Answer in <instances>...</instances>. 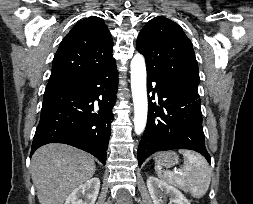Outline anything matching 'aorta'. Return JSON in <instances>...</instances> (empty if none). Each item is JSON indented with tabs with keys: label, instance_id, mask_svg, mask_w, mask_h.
<instances>
[{
	"label": "aorta",
	"instance_id": "762f6f07",
	"mask_svg": "<svg viewBox=\"0 0 253 204\" xmlns=\"http://www.w3.org/2000/svg\"><path fill=\"white\" fill-rule=\"evenodd\" d=\"M131 89L134 103V129L135 133L139 135L146 126L148 101L145 60L138 53L131 61Z\"/></svg>",
	"mask_w": 253,
	"mask_h": 204
}]
</instances>
